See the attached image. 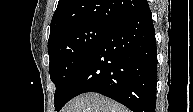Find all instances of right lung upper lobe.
<instances>
[{"label": "right lung upper lobe", "mask_w": 193, "mask_h": 112, "mask_svg": "<svg viewBox=\"0 0 193 112\" xmlns=\"http://www.w3.org/2000/svg\"><path fill=\"white\" fill-rule=\"evenodd\" d=\"M147 5V0H59L52 17L50 36L81 23L113 28Z\"/></svg>", "instance_id": "obj_1"}]
</instances>
